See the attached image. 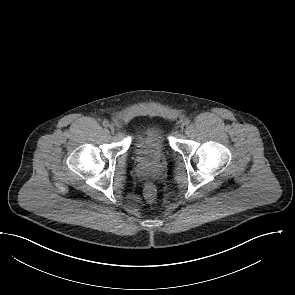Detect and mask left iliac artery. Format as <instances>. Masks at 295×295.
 <instances>
[{"mask_svg":"<svg viewBox=\"0 0 295 295\" xmlns=\"http://www.w3.org/2000/svg\"><path fill=\"white\" fill-rule=\"evenodd\" d=\"M184 124L185 125H189L190 124V120L189 119H185Z\"/></svg>","mask_w":295,"mask_h":295,"instance_id":"obj_1","label":"left iliac artery"}]
</instances>
